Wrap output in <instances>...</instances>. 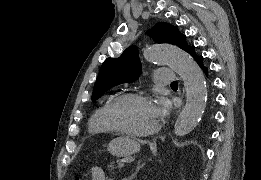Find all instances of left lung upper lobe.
I'll use <instances>...</instances> for the list:
<instances>
[{"instance_id": "left-lung-upper-lobe-1", "label": "left lung upper lobe", "mask_w": 261, "mask_h": 180, "mask_svg": "<svg viewBox=\"0 0 261 180\" xmlns=\"http://www.w3.org/2000/svg\"><path fill=\"white\" fill-rule=\"evenodd\" d=\"M148 33L156 43L175 44L186 52L191 47L186 43V37L179 32L177 27L164 22L156 24ZM140 73L141 63L135 46L127 48L119 58H107L100 68L92 100H97L113 86L135 81Z\"/></svg>"}]
</instances>
